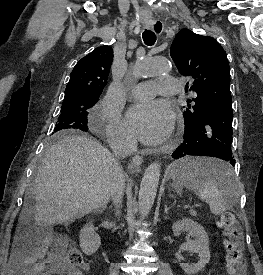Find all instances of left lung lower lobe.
Instances as JSON below:
<instances>
[{"mask_svg":"<svg viewBox=\"0 0 263 275\" xmlns=\"http://www.w3.org/2000/svg\"><path fill=\"white\" fill-rule=\"evenodd\" d=\"M231 102L221 103L206 113L199 123L185 127L183 142L173 152L174 159L188 156L217 157L235 166L232 156Z\"/></svg>","mask_w":263,"mask_h":275,"instance_id":"left-lung-lower-lobe-1","label":"left lung lower lobe"}]
</instances>
